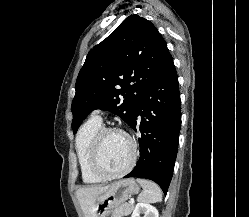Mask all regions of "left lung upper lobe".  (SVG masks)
<instances>
[{
	"mask_svg": "<svg viewBox=\"0 0 249 217\" xmlns=\"http://www.w3.org/2000/svg\"><path fill=\"white\" fill-rule=\"evenodd\" d=\"M169 55L150 21L138 15L127 17L88 53L79 72L72 101L73 133L95 109L117 114L130 125L141 96Z\"/></svg>",
	"mask_w": 249,
	"mask_h": 217,
	"instance_id": "obj_1",
	"label": "left lung upper lobe"
}]
</instances>
